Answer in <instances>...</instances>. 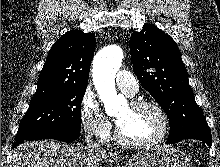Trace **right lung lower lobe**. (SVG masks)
<instances>
[{
  "label": "right lung lower lobe",
  "mask_w": 220,
  "mask_h": 167,
  "mask_svg": "<svg viewBox=\"0 0 220 167\" xmlns=\"http://www.w3.org/2000/svg\"><path fill=\"white\" fill-rule=\"evenodd\" d=\"M80 135V130H72V131H64L59 133H43L38 136L24 139V140H17L14 142L12 148H15L17 145L23 143L24 141H33V140H41V139H55L63 142H72L76 140Z\"/></svg>",
  "instance_id": "right-lung-lower-lobe-1"
}]
</instances>
